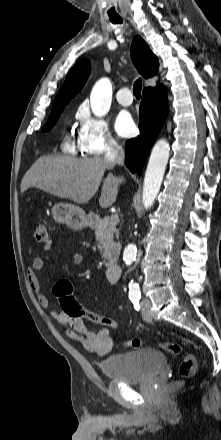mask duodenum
Instances as JSON below:
<instances>
[{"instance_id": "duodenum-1", "label": "duodenum", "mask_w": 221, "mask_h": 440, "mask_svg": "<svg viewBox=\"0 0 221 440\" xmlns=\"http://www.w3.org/2000/svg\"><path fill=\"white\" fill-rule=\"evenodd\" d=\"M122 268L117 263H110L106 268V277L112 282H117L121 279Z\"/></svg>"}]
</instances>
